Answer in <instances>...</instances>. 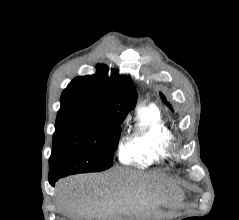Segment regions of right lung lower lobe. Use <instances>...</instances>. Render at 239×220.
I'll return each mask as SVG.
<instances>
[{
  "instance_id": "right-lung-lower-lobe-1",
  "label": "right lung lower lobe",
  "mask_w": 239,
  "mask_h": 220,
  "mask_svg": "<svg viewBox=\"0 0 239 220\" xmlns=\"http://www.w3.org/2000/svg\"><path fill=\"white\" fill-rule=\"evenodd\" d=\"M58 179H49V183L54 186V183L57 181Z\"/></svg>"
}]
</instances>
